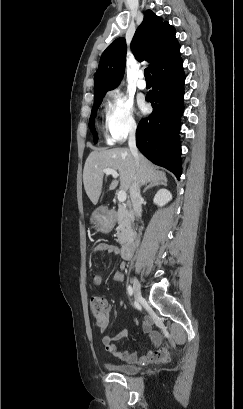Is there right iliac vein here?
<instances>
[{
  "instance_id": "obj_1",
  "label": "right iliac vein",
  "mask_w": 243,
  "mask_h": 409,
  "mask_svg": "<svg viewBox=\"0 0 243 409\" xmlns=\"http://www.w3.org/2000/svg\"><path fill=\"white\" fill-rule=\"evenodd\" d=\"M134 297L138 301L141 298L140 285L136 278L133 280Z\"/></svg>"
}]
</instances>
